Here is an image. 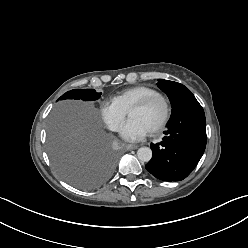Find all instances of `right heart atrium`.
Returning a JSON list of instances; mask_svg holds the SVG:
<instances>
[{
  "label": "right heart atrium",
  "instance_id": "d8ad5b80",
  "mask_svg": "<svg viewBox=\"0 0 248 248\" xmlns=\"http://www.w3.org/2000/svg\"><path fill=\"white\" fill-rule=\"evenodd\" d=\"M99 111L103 122L111 131H118L120 129L126 117V111L117 103L113 100L103 101Z\"/></svg>",
  "mask_w": 248,
  "mask_h": 248
}]
</instances>
